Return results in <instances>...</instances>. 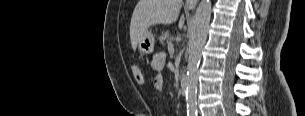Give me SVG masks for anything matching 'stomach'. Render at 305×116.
<instances>
[{
  "mask_svg": "<svg viewBox=\"0 0 305 116\" xmlns=\"http://www.w3.org/2000/svg\"><path fill=\"white\" fill-rule=\"evenodd\" d=\"M155 38L150 30H146L142 35L139 43L138 49L144 54H150L154 51Z\"/></svg>",
  "mask_w": 305,
  "mask_h": 116,
  "instance_id": "obj_1",
  "label": "stomach"
}]
</instances>
